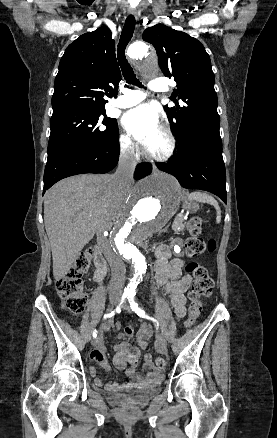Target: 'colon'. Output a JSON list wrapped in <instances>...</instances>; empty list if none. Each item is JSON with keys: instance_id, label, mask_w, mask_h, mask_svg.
Returning a JSON list of instances; mask_svg holds the SVG:
<instances>
[{"instance_id": "1", "label": "colon", "mask_w": 277, "mask_h": 438, "mask_svg": "<svg viewBox=\"0 0 277 438\" xmlns=\"http://www.w3.org/2000/svg\"><path fill=\"white\" fill-rule=\"evenodd\" d=\"M202 226L203 221L200 218H193L186 225L187 231L191 234L186 240V255L188 257H198L215 249L216 244L213 238L207 239L199 236ZM84 255L94 257L96 250L86 248ZM89 265L90 262L87 258L80 259L56 283L57 294L63 299L65 308L74 315L81 314L86 306L87 296L83 291L81 276L87 272ZM187 271L193 278V284L190 292L191 303L188 307L185 324L191 326L201 314L203 298L213 292L215 285L214 280L203 265L189 264ZM165 364L163 357L156 358L155 365L158 369H162Z\"/></svg>"}]
</instances>
